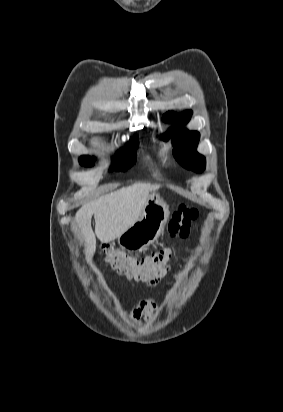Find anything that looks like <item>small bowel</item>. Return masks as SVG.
I'll return each mask as SVG.
<instances>
[{
  "instance_id": "c3829d8e",
  "label": "small bowel",
  "mask_w": 283,
  "mask_h": 412,
  "mask_svg": "<svg viewBox=\"0 0 283 412\" xmlns=\"http://www.w3.org/2000/svg\"><path fill=\"white\" fill-rule=\"evenodd\" d=\"M157 305L153 300L142 299L140 300L135 307L126 313L127 317L130 320H137L145 316L146 318L153 320L154 319V310Z\"/></svg>"
}]
</instances>
